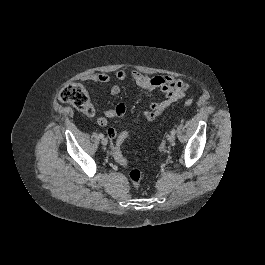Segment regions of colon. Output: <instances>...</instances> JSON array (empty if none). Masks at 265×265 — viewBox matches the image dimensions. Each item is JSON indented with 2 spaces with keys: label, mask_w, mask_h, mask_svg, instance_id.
Instances as JSON below:
<instances>
[{
  "label": "colon",
  "mask_w": 265,
  "mask_h": 265,
  "mask_svg": "<svg viewBox=\"0 0 265 265\" xmlns=\"http://www.w3.org/2000/svg\"><path fill=\"white\" fill-rule=\"evenodd\" d=\"M58 98L60 101L74 106L77 110L88 116H93L95 114L94 108L90 103L86 90L79 83H69L62 87L59 91ZM192 103L193 101L191 99H186L184 102L186 106H191ZM107 133L113 140L112 154L115 160L119 164L126 166L128 162L124 157L121 148L125 139L128 137L129 132L123 131L117 135V133H114L112 129H108ZM142 177L143 172L140 169L135 168L129 172V178L135 188L139 187Z\"/></svg>",
  "instance_id": "5ec220e1"
}]
</instances>
